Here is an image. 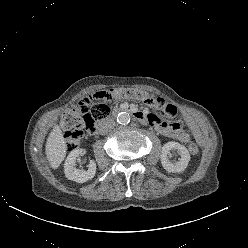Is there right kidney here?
Listing matches in <instances>:
<instances>
[{
	"mask_svg": "<svg viewBox=\"0 0 248 248\" xmlns=\"http://www.w3.org/2000/svg\"><path fill=\"white\" fill-rule=\"evenodd\" d=\"M85 150L81 148H76L72 150L67 156L64 164V173L66 178L75 181L77 183H84L91 180L96 174V163L91 160L88 165L87 171H81L75 167L76 159L82 156Z\"/></svg>",
	"mask_w": 248,
	"mask_h": 248,
	"instance_id": "ca27d5eb",
	"label": "right kidney"
}]
</instances>
